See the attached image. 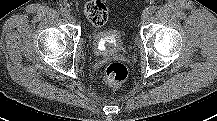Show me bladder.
Here are the masks:
<instances>
[{"instance_id":"obj_1","label":"bladder","mask_w":217,"mask_h":121,"mask_svg":"<svg viewBox=\"0 0 217 121\" xmlns=\"http://www.w3.org/2000/svg\"><path fill=\"white\" fill-rule=\"evenodd\" d=\"M124 43L117 30H110L107 34L96 32L93 35L94 52L102 56H112L121 52Z\"/></svg>"}]
</instances>
